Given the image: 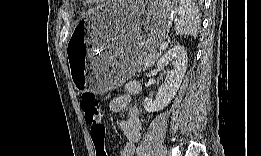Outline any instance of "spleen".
<instances>
[{"mask_svg":"<svg viewBox=\"0 0 261 156\" xmlns=\"http://www.w3.org/2000/svg\"><path fill=\"white\" fill-rule=\"evenodd\" d=\"M172 8L178 14V20L174 25L176 33L196 38L200 19L195 4L190 0H181Z\"/></svg>","mask_w":261,"mask_h":156,"instance_id":"3e777b00","label":"spleen"}]
</instances>
